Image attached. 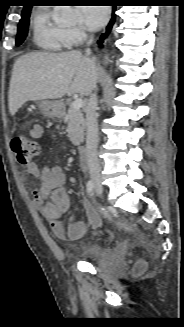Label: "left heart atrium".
Masks as SVG:
<instances>
[{
	"instance_id": "left-heart-atrium-1",
	"label": "left heart atrium",
	"mask_w": 184,
	"mask_h": 327,
	"mask_svg": "<svg viewBox=\"0 0 184 327\" xmlns=\"http://www.w3.org/2000/svg\"><path fill=\"white\" fill-rule=\"evenodd\" d=\"M81 23L89 30L95 31L101 28L107 21L109 9L106 7H94L85 5L78 11Z\"/></svg>"
}]
</instances>
